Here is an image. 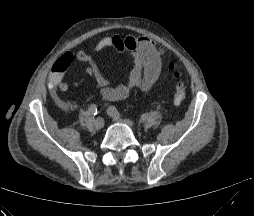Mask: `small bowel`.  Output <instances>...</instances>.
Instances as JSON below:
<instances>
[{"mask_svg":"<svg viewBox=\"0 0 254 216\" xmlns=\"http://www.w3.org/2000/svg\"><path fill=\"white\" fill-rule=\"evenodd\" d=\"M111 47L118 52H129L131 55V67L127 78L117 86L111 85V81L101 73L96 60L87 52H67L61 56L59 62L65 63L67 67L74 61L87 63L86 73L96 82L100 96L109 101L125 99L136 89L142 92L149 91L160 77L162 58L166 55V51L147 37H122L117 34L101 38L94 50L98 53ZM66 69L54 67L49 74V89L56 101H61L56 90L65 92L69 88L64 80Z\"/></svg>","mask_w":254,"mask_h":216,"instance_id":"small-bowel-1","label":"small bowel"}]
</instances>
